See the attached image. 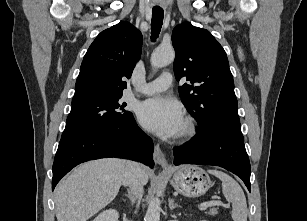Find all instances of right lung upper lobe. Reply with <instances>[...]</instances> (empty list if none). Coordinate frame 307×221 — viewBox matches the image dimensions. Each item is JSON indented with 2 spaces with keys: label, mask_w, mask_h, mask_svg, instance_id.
<instances>
[{
  "label": "right lung upper lobe",
  "mask_w": 307,
  "mask_h": 221,
  "mask_svg": "<svg viewBox=\"0 0 307 221\" xmlns=\"http://www.w3.org/2000/svg\"><path fill=\"white\" fill-rule=\"evenodd\" d=\"M141 49L142 34L128 22L102 31L84 56L72 103L122 95Z\"/></svg>",
  "instance_id": "right-lung-upper-lobe-1"
}]
</instances>
